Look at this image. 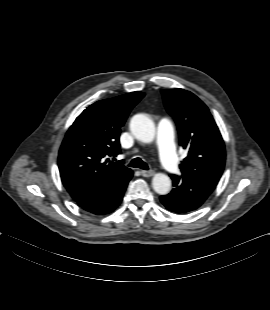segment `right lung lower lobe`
I'll use <instances>...</instances> for the list:
<instances>
[{"instance_id":"obj_1","label":"right lung lower lobe","mask_w":270,"mask_h":310,"mask_svg":"<svg viewBox=\"0 0 270 310\" xmlns=\"http://www.w3.org/2000/svg\"><path fill=\"white\" fill-rule=\"evenodd\" d=\"M132 176V170L123 171L103 185L71 197L87 212L96 215L108 214L119 206Z\"/></svg>"}]
</instances>
